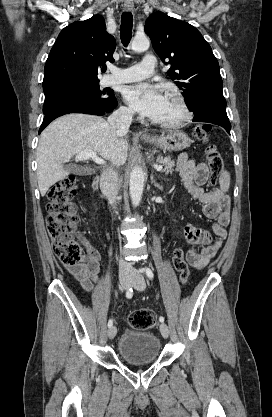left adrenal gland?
<instances>
[{
  "label": "left adrenal gland",
  "instance_id": "a2214340",
  "mask_svg": "<svg viewBox=\"0 0 272 417\" xmlns=\"http://www.w3.org/2000/svg\"><path fill=\"white\" fill-rule=\"evenodd\" d=\"M151 183L154 184V186L159 188V189L162 188L157 182H155L153 174H151Z\"/></svg>",
  "mask_w": 272,
  "mask_h": 417
}]
</instances>
